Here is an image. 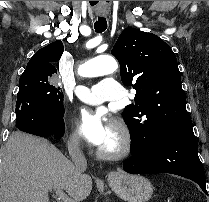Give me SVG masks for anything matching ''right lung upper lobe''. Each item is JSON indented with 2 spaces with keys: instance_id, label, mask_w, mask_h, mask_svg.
Returning a JSON list of instances; mask_svg holds the SVG:
<instances>
[{
  "instance_id": "1",
  "label": "right lung upper lobe",
  "mask_w": 209,
  "mask_h": 202,
  "mask_svg": "<svg viewBox=\"0 0 209 202\" xmlns=\"http://www.w3.org/2000/svg\"><path fill=\"white\" fill-rule=\"evenodd\" d=\"M63 53V44L57 40L38 50L27 64L22 75L34 73L54 74L57 69L53 62L58 61ZM21 75V76H22Z\"/></svg>"
}]
</instances>
